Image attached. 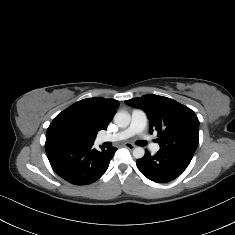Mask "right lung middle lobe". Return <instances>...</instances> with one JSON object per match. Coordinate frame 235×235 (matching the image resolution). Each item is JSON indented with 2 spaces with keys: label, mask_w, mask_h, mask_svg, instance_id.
I'll return each mask as SVG.
<instances>
[{
  "label": "right lung middle lobe",
  "mask_w": 235,
  "mask_h": 235,
  "mask_svg": "<svg viewBox=\"0 0 235 235\" xmlns=\"http://www.w3.org/2000/svg\"><path fill=\"white\" fill-rule=\"evenodd\" d=\"M62 138L70 143L74 142H86L93 143L95 138H92L84 134L80 129L74 126L66 127L62 132Z\"/></svg>",
  "instance_id": "1"
}]
</instances>
